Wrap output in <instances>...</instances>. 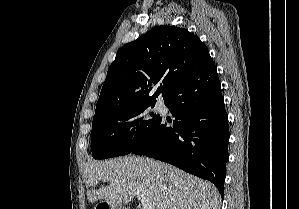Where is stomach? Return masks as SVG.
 Listing matches in <instances>:
<instances>
[{"instance_id":"stomach-1","label":"stomach","mask_w":299,"mask_h":209,"mask_svg":"<svg viewBox=\"0 0 299 209\" xmlns=\"http://www.w3.org/2000/svg\"><path fill=\"white\" fill-rule=\"evenodd\" d=\"M102 206H105V207H102ZM101 208H105V209H122L121 207L112 206L107 202H101V203L97 204L94 209H101Z\"/></svg>"}]
</instances>
